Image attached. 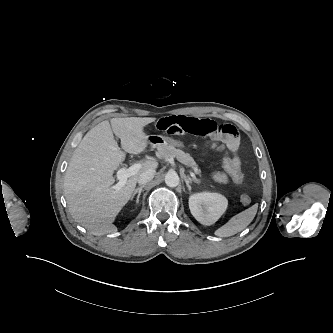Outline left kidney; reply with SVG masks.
Returning a JSON list of instances; mask_svg holds the SVG:
<instances>
[{"instance_id":"left-kidney-1","label":"left kidney","mask_w":333,"mask_h":333,"mask_svg":"<svg viewBox=\"0 0 333 333\" xmlns=\"http://www.w3.org/2000/svg\"><path fill=\"white\" fill-rule=\"evenodd\" d=\"M227 199L212 192H200L189 197V208L194 218L203 225L214 224L227 209Z\"/></svg>"}]
</instances>
